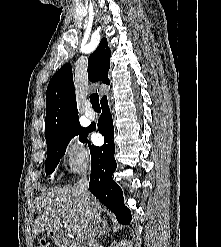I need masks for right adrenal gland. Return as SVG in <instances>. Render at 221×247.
<instances>
[{"label":"right adrenal gland","instance_id":"obj_1","mask_svg":"<svg viewBox=\"0 0 221 247\" xmlns=\"http://www.w3.org/2000/svg\"><path fill=\"white\" fill-rule=\"evenodd\" d=\"M108 232H110V228L108 227L107 225V221L104 220L102 222V227L100 229V232H99V235H98V238H102L105 234H107Z\"/></svg>","mask_w":221,"mask_h":247}]
</instances>
